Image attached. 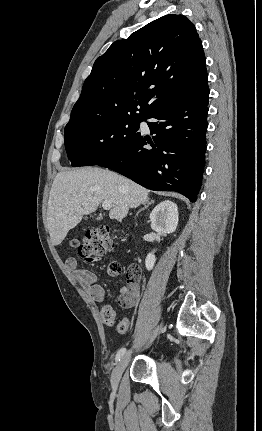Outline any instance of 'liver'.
Here are the masks:
<instances>
[{
	"mask_svg": "<svg viewBox=\"0 0 262 431\" xmlns=\"http://www.w3.org/2000/svg\"><path fill=\"white\" fill-rule=\"evenodd\" d=\"M149 191L130 179L99 167L59 172L52 184L47 227L51 241L59 245L83 215L96 211L99 204H112L109 216L121 221L130 208L148 201Z\"/></svg>",
	"mask_w": 262,
	"mask_h": 431,
	"instance_id": "obj_1",
	"label": "liver"
}]
</instances>
